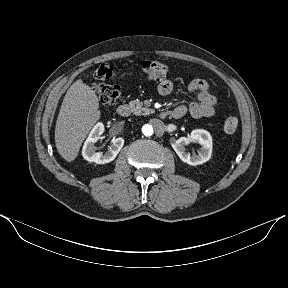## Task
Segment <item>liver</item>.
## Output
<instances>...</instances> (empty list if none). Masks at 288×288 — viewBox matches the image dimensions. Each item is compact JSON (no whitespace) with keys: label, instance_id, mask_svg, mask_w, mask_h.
<instances>
[{"label":"liver","instance_id":"1","mask_svg":"<svg viewBox=\"0 0 288 288\" xmlns=\"http://www.w3.org/2000/svg\"><path fill=\"white\" fill-rule=\"evenodd\" d=\"M98 108V97L90 86L81 79L70 86L55 126L56 148L67 162L75 160L89 131L100 119Z\"/></svg>","mask_w":288,"mask_h":288}]
</instances>
